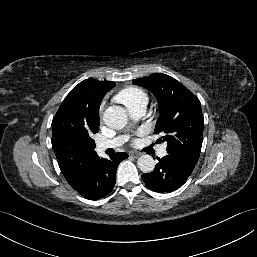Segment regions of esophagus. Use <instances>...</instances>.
Instances as JSON below:
<instances>
[{
  "label": "esophagus",
  "mask_w": 257,
  "mask_h": 257,
  "mask_svg": "<svg viewBox=\"0 0 257 257\" xmlns=\"http://www.w3.org/2000/svg\"><path fill=\"white\" fill-rule=\"evenodd\" d=\"M130 155L132 157H134V158H138L139 156H141V153L140 152H136V151H131Z\"/></svg>",
  "instance_id": "obj_1"
}]
</instances>
